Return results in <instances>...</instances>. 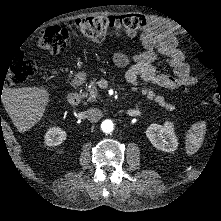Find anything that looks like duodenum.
Returning a JSON list of instances; mask_svg holds the SVG:
<instances>
[{"label":"duodenum","instance_id":"duodenum-1","mask_svg":"<svg viewBox=\"0 0 221 221\" xmlns=\"http://www.w3.org/2000/svg\"><path fill=\"white\" fill-rule=\"evenodd\" d=\"M84 83V75L79 73L72 78V84L74 87L79 88ZM83 98V94L81 91H73L66 95L67 101L72 104H78Z\"/></svg>","mask_w":221,"mask_h":221}]
</instances>
